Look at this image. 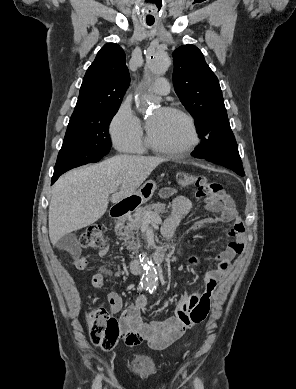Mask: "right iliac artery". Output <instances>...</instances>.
<instances>
[{"label": "right iliac artery", "instance_id": "82829eb1", "mask_svg": "<svg viewBox=\"0 0 296 389\" xmlns=\"http://www.w3.org/2000/svg\"><path fill=\"white\" fill-rule=\"evenodd\" d=\"M100 388H101L100 380L99 378H97L94 383V389H100Z\"/></svg>", "mask_w": 296, "mask_h": 389}]
</instances>
